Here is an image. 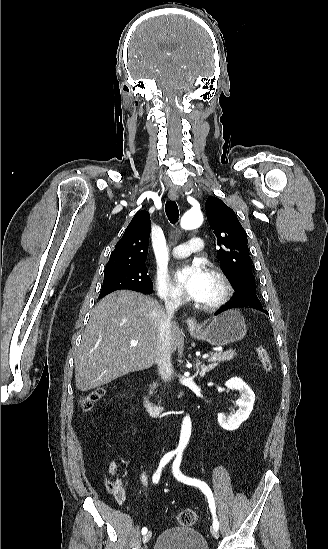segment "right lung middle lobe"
Here are the masks:
<instances>
[{
    "mask_svg": "<svg viewBox=\"0 0 328 549\" xmlns=\"http://www.w3.org/2000/svg\"><path fill=\"white\" fill-rule=\"evenodd\" d=\"M133 290L144 294L153 290L145 262L105 270L100 298L116 290Z\"/></svg>",
    "mask_w": 328,
    "mask_h": 549,
    "instance_id": "right-lung-middle-lobe-1",
    "label": "right lung middle lobe"
}]
</instances>
